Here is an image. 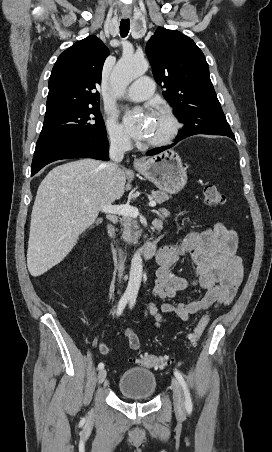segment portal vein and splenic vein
<instances>
[{"mask_svg":"<svg viewBox=\"0 0 272 452\" xmlns=\"http://www.w3.org/2000/svg\"><path fill=\"white\" fill-rule=\"evenodd\" d=\"M148 205L150 207L156 206V201L151 200ZM101 211L108 214H114V215H123V216H129V217H137L139 215V210L137 207L124 204V205H102Z\"/></svg>","mask_w":272,"mask_h":452,"instance_id":"portal-vein-and-splenic-vein-1","label":"portal vein and splenic vein"}]
</instances>
